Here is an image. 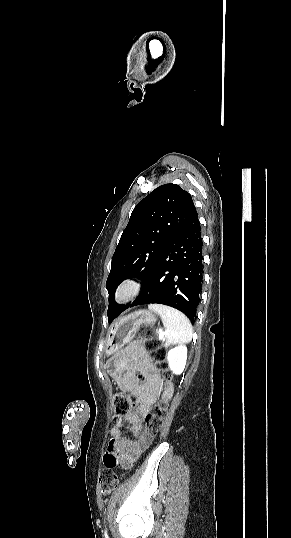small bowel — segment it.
I'll use <instances>...</instances> for the list:
<instances>
[{"label": "small bowel", "mask_w": 291, "mask_h": 538, "mask_svg": "<svg viewBox=\"0 0 291 538\" xmlns=\"http://www.w3.org/2000/svg\"><path fill=\"white\" fill-rule=\"evenodd\" d=\"M135 357L137 363L127 365L124 359ZM135 369H140L146 376V382L141 384L134 380ZM105 370L113 378L120 390L131 394L138 401L135 410L119 420L110 430V441L107 450H111L116 457L117 464L122 469H130L140 455L151 445L153 437L144 430L143 417L148 414L151 406L156 402L162 381L157 369L142 354L139 346L132 345L125 354H111ZM126 427L133 437L122 434Z\"/></svg>", "instance_id": "small-bowel-1"}]
</instances>
